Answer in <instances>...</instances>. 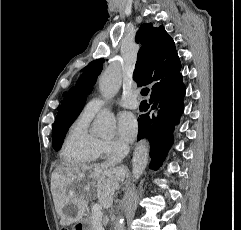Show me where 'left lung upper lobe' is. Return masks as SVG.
Listing matches in <instances>:
<instances>
[{
  "label": "left lung upper lobe",
  "mask_w": 241,
  "mask_h": 230,
  "mask_svg": "<svg viewBox=\"0 0 241 230\" xmlns=\"http://www.w3.org/2000/svg\"><path fill=\"white\" fill-rule=\"evenodd\" d=\"M101 70V64L88 69L80 76L76 86L72 87L64 98L52 129V145L56 151L61 148L68 128L82 111L87 94L92 91Z\"/></svg>",
  "instance_id": "1"
}]
</instances>
